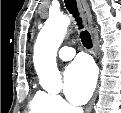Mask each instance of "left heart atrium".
Segmentation results:
<instances>
[{
  "label": "left heart atrium",
  "mask_w": 121,
  "mask_h": 113,
  "mask_svg": "<svg viewBox=\"0 0 121 113\" xmlns=\"http://www.w3.org/2000/svg\"><path fill=\"white\" fill-rule=\"evenodd\" d=\"M95 69L92 63L81 58L70 64L64 73V91L69 101L84 104L95 86Z\"/></svg>",
  "instance_id": "left-heart-atrium-1"
}]
</instances>
